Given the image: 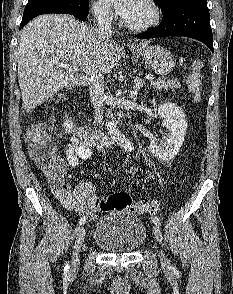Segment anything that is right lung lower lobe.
I'll return each mask as SVG.
<instances>
[{
    "instance_id": "1",
    "label": "right lung lower lobe",
    "mask_w": 233,
    "mask_h": 294,
    "mask_svg": "<svg viewBox=\"0 0 233 294\" xmlns=\"http://www.w3.org/2000/svg\"><path fill=\"white\" fill-rule=\"evenodd\" d=\"M89 13V6L82 7L80 9L74 10L68 14L77 17L78 19L84 21ZM28 22H21L20 29L23 28Z\"/></svg>"
}]
</instances>
